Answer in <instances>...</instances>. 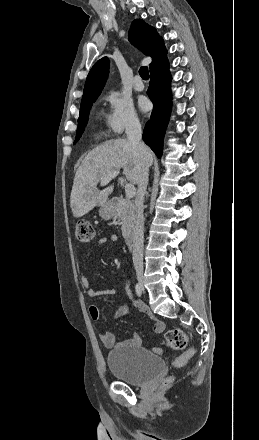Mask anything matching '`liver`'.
<instances>
[{
	"label": "liver",
	"instance_id": "obj_1",
	"mask_svg": "<svg viewBox=\"0 0 259 440\" xmlns=\"http://www.w3.org/2000/svg\"><path fill=\"white\" fill-rule=\"evenodd\" d=\"M147 161L153 162L148 149ZM123 169L128 181L138 183L140 160L136 148L127 139L110 140L91 150L76 171L70 206L74 217L87 214L96 206L107 203L114 185L98 190L97 184L113 171Z\"/></svg>",
	"mask_w": 259,
	"mask_h": 440
}]
</instances>
